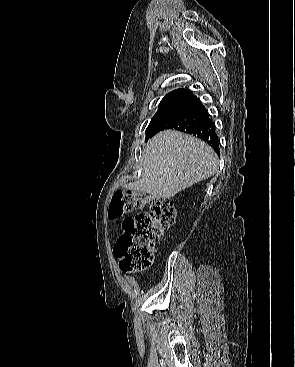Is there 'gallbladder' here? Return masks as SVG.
<instances>
[{"mask_svg":"<svg viewBox=\"0 0 295 367\" xmlns=\"http://www.w3.org/2000/svg\"><path fill=\"white\" fill-rule=\"evenodd\" d=\"M138 194H141V192H140V191H138Z\"/></svg>","mask_w":295,"mask_h":367,"instance_id":"bac80fb5","label":"gallbladder"}]
</instances>
